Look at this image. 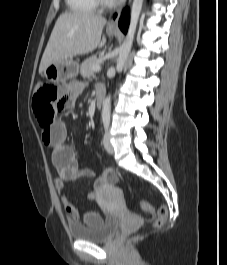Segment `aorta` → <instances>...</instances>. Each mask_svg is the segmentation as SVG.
<instances>
[{"mask_svg": "<svg viewBox=\"0 0 227 265\" xmlns=\"http://www.w3.org/2000/svg\"><path fill=\"white\" fill-rule=\"evenodd\" d=\"M144 0H133L132 7H131V17H130V24L128 28V32L126 38L121 46L119 57L117 59L116 69L117 71L122 70L124 64L127 60V57L130 53L132 48L134 35L136 32V27L138 23V19L142 10ZM110 109H111V97L110 95L106 97L103 109H102V121L109 122L110 120Z\"/></svg>", "mask_w": 227, "mask_h": 265, "instance_id": "aorta-1", "label": "aorta"}]
</instances>
